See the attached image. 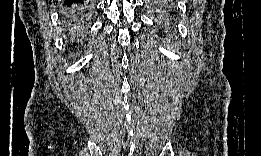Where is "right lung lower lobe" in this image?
<instances>
[{"label":"right lung lower lobe","instance_id":"98d812e1","mask_svg":"<svg viewBox=\"0 0 261 156\" xmlns=\"http://www.w3.org/2000/svg\"><path fill=\"white\" fill-rule=\"evenodd\" d=\"M63 15L70 22H78L88 8V2L83 0H65Z\"/></svg>","mask_w":261,"mask_h":156}]
</instances>
